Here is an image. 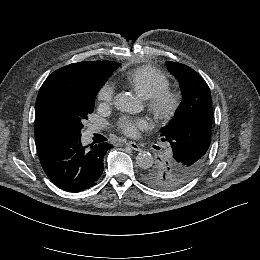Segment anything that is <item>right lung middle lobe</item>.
I'll return each mask as SVG.
<instances>
[{"mask_svg":"<svg viewBox=\"0 0 260 260\" xmlns=\"http://www.w3.org/2000/svg\"><path fill=\"white\" fill-rule=\"evenodd\" d=\"M105 79L86 81L75 89L64 91L51 110V123L66 138L81 137L82 122L94 110L95 97Z\"/></svg>","mask_w":260,"mask_h":260,"instance_id":"right-lung-middle-lobe-1","label":"right lung middle lobe"}]
</instances>
